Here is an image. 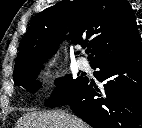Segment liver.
Masks as SVG:
<instances>
[{
	"label": "liver",
	"mask_w": 142,
	"mask_h": 128,
	"mask_svg": "<svg viewBox=\"0 0 142 128\" xmlns=\"http://www.w3.org/2000/svg\"><path fill=\"white\" fill-rule=\"evenodd\" d=\"M16 128H89L80 118L63 111H31L17 122Z\"/></svg>",
	"instance_id": "obj_1"
}]
</instances>
